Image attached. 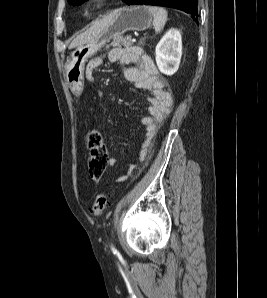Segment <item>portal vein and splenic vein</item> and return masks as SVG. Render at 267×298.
Returning a JSON list of instances; mask_svg holds the SVG:
<instances>
[{"mask_svg":"<svg viewBox=\"0 0 267 298\" xmlns=\"http://www.w3.org/2000/svg\"><path fill=\"white\" fill-rule=\"evenodd\" d=\"M136 41V39H132V42H135Z\"/></svg>","mask_w":267,"mask_h":298,"instance_id":"portal-vein-and-splenic-vein-1","label":"portal vein and splenic vein"}]
</instances>
